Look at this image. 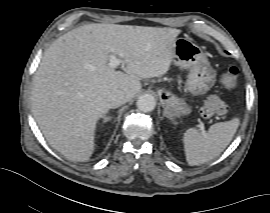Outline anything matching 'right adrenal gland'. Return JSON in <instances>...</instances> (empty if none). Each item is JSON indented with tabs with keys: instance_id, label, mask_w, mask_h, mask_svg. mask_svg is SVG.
<instances>
[{
	"instance_id": "right-adrenal-gland-1",
	"label": "right adrenal gland",
	"mask_w": 270,
	"mask_h": 213,
	"mask_svg": "<svg viewBox=\"0 0 270 213\" xmlns=\"http://www.w3.org/2000/svg\"><path fill=\"white\" fill-rule=\"evenodd\" d=\"M111 121V117L110 116H104L103 117V122L106 123V122H109Z\"/></svg>"
}]
</instances>
